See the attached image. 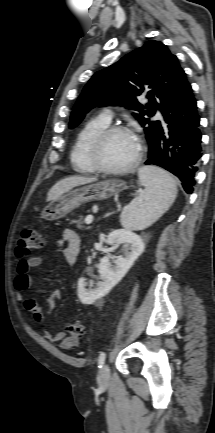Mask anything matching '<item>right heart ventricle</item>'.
<instances>
[{
	"label": "right heart ventricle",
	"instance_id": "e07e8e85",
	"mask_svg": "<svg viewBox=\"0 0 215 433\" xmlns=\"http://www.w3.org/2000/svg\"><path fill=\"white\" fill-rule=\"evenodd\" d=\"M109 124L110 121L100 115L87 121L79 131L70 155L71 164L75 171L80 173H94L96 171L89 161L88 148L92 139Z\"/></svg>",
	"mask_w": 215,
	"mask_h": 433
}]
</instances>
